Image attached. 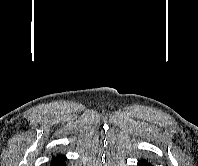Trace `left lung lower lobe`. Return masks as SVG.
Returning a JSON list of instances; mask_svg holds the SVG:
<instances>
[{
	"mask_svg": "<svg viewBox=\"0 0 198 166\" xmlns=\"http://www.w3.org/2000/svg\"><path fill=\"white\" fill-rule=\"evenodd\" d=\"M138 165L139 166H153L150 162H148L147 160L145 159H142L138 162Z\"/></svg>",
	"mask_w": 198,
	"mask_h": 166,
	"instance_id": "obj_1",
	"label": "left lung lower lobe"
}]
</instances>
